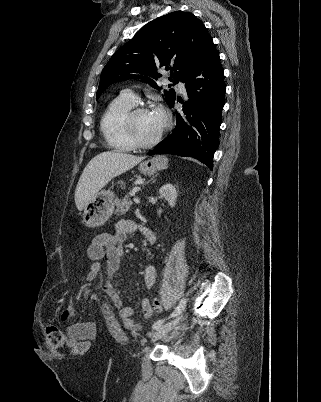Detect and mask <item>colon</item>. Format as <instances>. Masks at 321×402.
<instances>
[{
    "mask_svg": "<svg viewBox=\"0 0 321 402\" xmlns=\"http://www.w3.org/2000/svg\"><path fill=\"white\" fill-rule=\"evenodd\" d=\"M163 310V303L160 300H154L152 304V311L161 312ZM42 343L47 350H57L64 346L65 335L62 330L53 324L45 326L43 331Z\"/></svg>",
    "mask_w": 321,
    "mask_h": 402,
    "instance_id": "colon-1",
    "label": "colon"
}]
</instances>
